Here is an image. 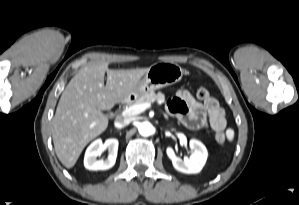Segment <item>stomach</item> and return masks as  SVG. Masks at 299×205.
<instances>
[{
	"instance_id": "stomach-1",
	"label": "stomach",
	"mask_w": 299,
	"mask_h": 205,
	"mask_svg": "<svg viewBox=\"0 0 299 205\" xmlns=\"http://www.w3.org/2000/svg\"><path fill=\"white\" fill-rule=\"evenodd\" d=\"M184 70L178 64L158 62L151 65L145 76L138 82L129 99L175 84L182 79Z\"/></svg>"
}]
</instances>
